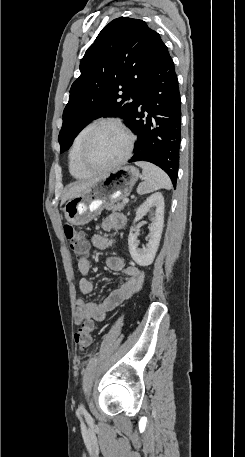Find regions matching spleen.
I'll return each mask as SVG.
<instances>
[{
  "label": "spleen",
  "mask_w": 245,
  "mask_h": 457,
  "mask_svg": "<svg viewBox=\"0 0 245 457\" xmlns=\"http://www.w3.org/2000/svg\"><path fill=\"white\" fill-rule=\"evenodd\" d=\"M135 164L143 168L142 172L145 176V180L138 184V194H147V192H154L159 188H171V180L164 170H161L155 164H151V162H144V160H139Z\"/></svg>",
  "instance_id": "obj_1"
}]
</instances>
